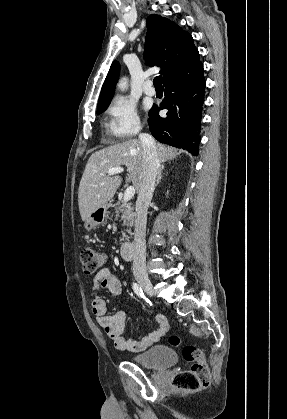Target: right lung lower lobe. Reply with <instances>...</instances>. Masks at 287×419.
<instances>
[{"instance_id": "obj_1", "label": "right lung lower lobe", "mask_w": 287, "mask_h": 419, "mask_svg": "<svg viewBox=\"0 0 287 419\" xmlns=\"http://www.w3.org/2000/svg\"><path fill=\"white\" fill-rule=\"evenodd\" d=\"M164 99L149 111L151 134L160 142L182 148L192 155L199 152L205 78L203 65L184 76L163 83ZM161 109H168L165 117Z\"/></svg>"}]
</instances>
